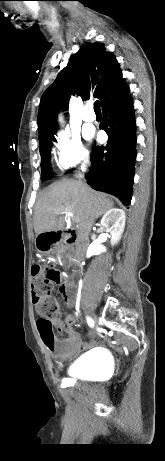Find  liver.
<instances>
[{
	"label": "liver",
	"mask_w": 165,
	"mask_h": 461,
	"mask_svg": "<svg viewBox=\"0 0 165 461\" xmlns=\"http://www.w3.org/2000/svg\"><path fill=\"white\" fill-rule=\"evenodd\" d=\"M114 202L79 180H62L49 186L38 200L34 213L37 235L63 230L66 212L78 224V236L87 239L94 221L110 210ZM59 216V218H57Z\"/></svg>",
	"instance_id": "obj_1"
}]
</instances>
